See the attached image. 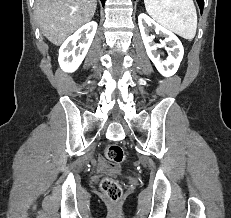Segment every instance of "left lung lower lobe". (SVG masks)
Instances as JSON below:
<instances>
[{
    "label": "left lung lower lobe",
    "mask_w": 231,
    "mask_h": 218,
    "mask_svg": "<svg viewBox=\"0 0 231 218\" xmlns=\"http://www.w3.org/2000/svg\"><path fill=\"white\" fill-rule=\"evenodd\" d=\"M197 2H198V5H199L201 13H202V11H203V5H204V0H197Z\"/></svg>",
    "instance_id": "obj_1"
}]
</instances>
